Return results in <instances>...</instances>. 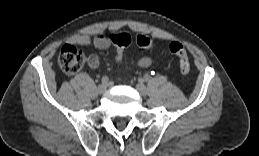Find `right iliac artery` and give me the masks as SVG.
Listing matches in <instances>:
<instances>
[{"label": "right iliac artery", "instance_id": "right-iliac-artery-1", "mask_svg": "<svg viewBox=\"0 0 259 156\" xmlns=\"http://www.w3.org/2000/svg\"><path fill=\"white\" fill-rule=\"evenodd\" d=\"M108 81H109V79H108L107 76H103V77L101 78V82H102L103 84H106Z\"/></svg>", "mask_w": 259, "mask_h": 156}]
</instances>
